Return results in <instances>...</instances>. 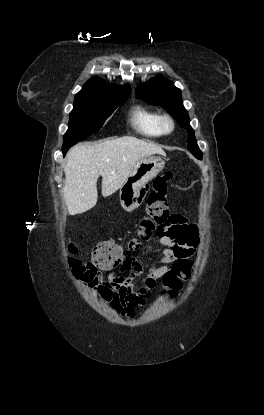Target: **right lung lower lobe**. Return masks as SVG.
Masks as SVG:
<instances>
[{
	"label": "right lung lower lobe",
	"mask_w": 264,
	"mask_h": 415,
	"mask_svg": "<svg viewBox=\"0 0 264 415\" xmlns=\"http://www.w3.org/2000/svg\"><path fill=\"white\" fill-rule=\"evenodd\" d=\"M68 150H63V154H64V156H65V154H66V152H67Z\"/></svg>",
	"instance_id": "98d812e1"
}]
</instances>
